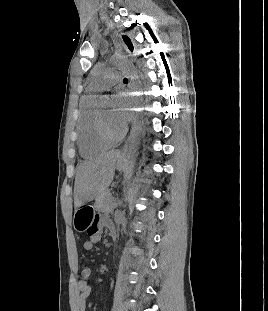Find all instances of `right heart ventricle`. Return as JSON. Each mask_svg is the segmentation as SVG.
<instances>
[{"label": "right heart ventricle", "mask_w": 268, "mask_h": 311, "mask_svg": "<svg viewBox=\"0 0 268 311\" xmlns=\"http://www.w3.org/2000/svg\"><path fill=\"white\" fill-rule=\"evenodd\" d=\"M96 95L88 94L82 100L78 118V147L83 157H92L107 150L113 143L103 140L97 131Z\"/></svg>", "instance_id": "right-heart-ventricle-1"}]
</instances>
